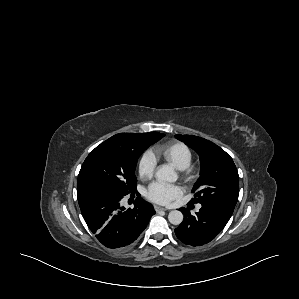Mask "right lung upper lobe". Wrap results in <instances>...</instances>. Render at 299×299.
<instances>
[{
    "instance_id": "cb5924a9",
    "label": "right lung upper lobe",
    "mask_w": 299,
    "mask_h": 299,
    "mask_svg": "<svg viewBox=\"0 0 299 299\" xmlns=\"http://www.w3.org/2000/svg\"><path fill=\"white\" fill-rule=\"evenodd\" d=\"M141 136L142 134L120 133L111 138L124 147L133 148L139 143Z\"/></svg>"
}]
</instances>
